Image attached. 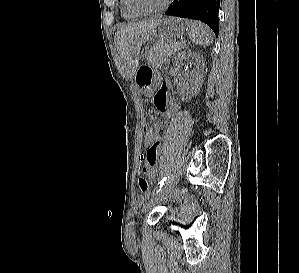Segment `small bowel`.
Wrapping results in <instances>:
<instances>
[{
    "label": "small bowel",
    "mask_w": 299,
    "mask_h": 273,
    "mask_svg": "<svg viewBox=\"0 0 299 273\" xmlns=\"http://www.w3.org/2000/svg\"><path fill=\"white\" fill-rule=\"evenodd\" d=\"M154 104L158 113L164 115H170L176 111V105L169 98L166 88L163 87L154 98ZM159 139L151 144H145L146 154L145 161L142 167V172L150 180H155L157 176V161H158V149Z\"/></svg>",
    "instance_id": "small-bowel-1"
}]
</instances>
